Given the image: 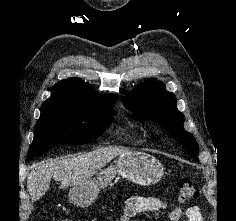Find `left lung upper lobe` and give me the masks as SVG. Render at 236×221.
Segmentation results:
<instances>
[{
	"label": "left lung upper lobe",
	"instance_id": "1",
	"mask_svg": "<svg viewBox=\"0 0 236 221\" xmlns=\"http://www.w3.org/2000/svg\"><path fill=\"white\" fill-rule=\"evenodd\" d=\"M175 95L168 92L162 82L144 81L138 89L124 98L125 108L136 120H155L170 136L183 145L186 153L198 159L199 146L193 135L183 127L184 116L178 111Z\"/></svg>",
	"mask_w": 236,
	"mask_h": 221
}]
</instances>
